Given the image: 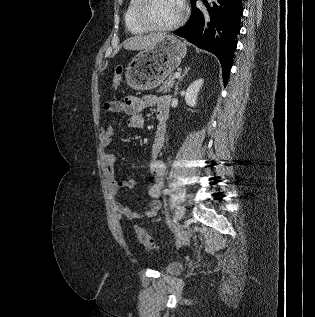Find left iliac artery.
<instances>
[{"label":"left iliac artery","instance_id":"obj_1","mask_svg":"<svg viewBox=\"0 0 315 317\" xmlns=\"http://www.w3.org/2000/svg\"><path fill=\"white\" fill-rule=\"evenodd\" d=\"M171 193V190L170 189H166L165 190V194H170Z\"/></svg>","mask_w":315,"mask_h":317}]
</instances>
